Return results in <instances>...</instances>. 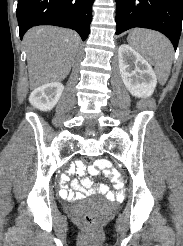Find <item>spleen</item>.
I'll use <instances>...</instances> for the list:
<instances>
[{
  "instance_id": "spleen-1",
  "label": "spleen",
  "mask_w": 183,
  "mask_h": 246,
  "mask_svg": "<svg viewBox=\"0 0 183 246\" xmlns=\"http://www.w3.org/2000/svg\"><path fill=\"white\" fill-rule=\"evenodd\" d=\"M128 42L154 65L158 80L164 85L170 75L174 57L169 39L156 31L134 29L128 36Z\"/></svg>"
}]
</instances>
